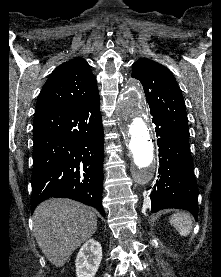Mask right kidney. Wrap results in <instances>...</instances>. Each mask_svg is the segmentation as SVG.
I'll return each mask as SVG.
<instances>
[{
  "instance_id": "ca27d5eb",
  "label": "right kidney",
  "mask_w": 221,
  "mask_h": 277,
  "mask_svg": "<svg viewBox=\"0 0 221 277\" xmlns=\"http://www.w3.org/2000/svg\"><path fill=\"white\" fill-rule=\"evenodd\" d=\"M102 260V247L94 239H89L80 248L76 257L77 277H94Z\"/></svg>"
}]
</instances>
